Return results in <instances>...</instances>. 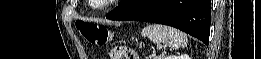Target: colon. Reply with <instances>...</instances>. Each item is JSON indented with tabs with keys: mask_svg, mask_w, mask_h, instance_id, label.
I'll return each mask as SVG.
<instances>
[{
	"mask_svg": "<svg viewBox=\"0 0 261 59\" xmlns=\"http://www.w3.org/2000/svg\"><path fill=\"white\" fill-rule=\"evenodd\" d=\"M77 29L80 34L90 43L103 46L106 45L110 38L111 32L103 25L89 24V23H78ZM110 59H136V54L132 49L117 47L115 48L110 56Z\"/></svg>",
	"mask_w": 261,
	"mask_h": 59,
	"instance_id": "colon-1",
	"label": "colon"
}]
</instances>
